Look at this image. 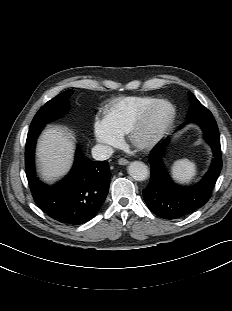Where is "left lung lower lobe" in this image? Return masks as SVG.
Wrapping results in <instances>:
<instances>
[{
    "mask_svg": "<svg viewBox=\"0 0 232 311\" xmlns=\"http://www.w3.org/2000/svg\"><path fill=\"white\" fill-rule=\"evenodd\" d=\"M186 123H197L202 128L214 158L210 169L198 184L184 187L175 184L163 166L162 155L168 138L153 148L149 160L150 182L143 190V196L148 208L164 219L180 218L203 206L210 199L222 169L220 138L213 115L209 113L187 118Z\"/></svg>",
    "mask_w": 232,
    "mask_h": 311,
    "instance_id": "0a47b994",
    "label": "left lung lower lobe"
}]
</instances>
